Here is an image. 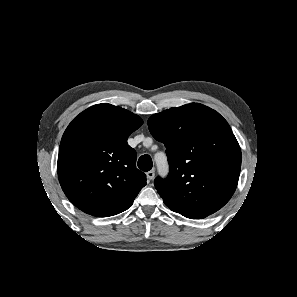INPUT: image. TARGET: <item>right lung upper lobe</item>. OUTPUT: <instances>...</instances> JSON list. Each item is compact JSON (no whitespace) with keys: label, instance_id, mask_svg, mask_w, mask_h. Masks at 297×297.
I'll use <instances>...</instances> for the list:
<instances>
[{"label":"right lung upper lobe","instance_id":"1","mask_svg":"<svg viewBox=\"0 0 297 297\" xmlns=\"http://www.w3.org/2000/svg\"><path fill=\"white\" fill-rule=\"evenodd\" d=\"M142 119L111 104L94 105L67 127L59 148L58 178L83 212L109 217L127 210L146 185L127 138Z\"/></svg>","mask_w":297,"mask_h":297}]
</instances>
